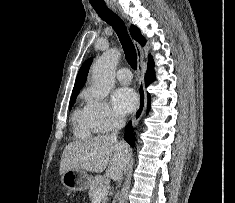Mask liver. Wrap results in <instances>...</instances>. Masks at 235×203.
<instances>
[{"mask_svg":"<svg viewBox=\"0 0 235 203\" xmlns=\"http://www.w3.org/2000/svg\"><path fill=\"white\" fill-rule=\"evenodd\" d=\"M132 152L123 141L111 135H99L68 144L62 154L60 175L68 169L100 173L106 168V176L118 181L130 164Z\"/></svg>","mask_w":235,"mask_h":203,"instance_id":"1","label":"liver"}]
</instances>
